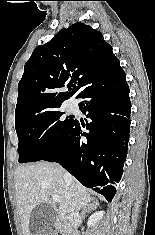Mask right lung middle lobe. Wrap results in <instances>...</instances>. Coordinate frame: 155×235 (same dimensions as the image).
Returning <instances> with one entry per match:
<instances>
[{
  "label": "right lung middle lobe",
  "mask_w": 155,
  "mask_h": 235,
  "mask_svg": "<svg viewBox=\"0 0 155 235\" xmlns=\"http://www.w3.org/2000/svg\"><path fill=\"white\" fill-rule=\"evenodd\" d=\"M62 115L57 107L25 112L15 118L19 163L44 160L65 143L76 120Z\"/></svg>",
  "instance_id": "dd1d6c3e"
}]
</instances>
